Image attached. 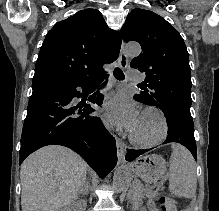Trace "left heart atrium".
I'll return each instance as SVG.
<instances>
[{
    "label": "left heart atrium",
    "mask_w": 219,
    "mask_h": 211,
    "mask_svg": "<svg viewBox=\"0 0 219 211\" xmlns=\"http://www.w3.org/2000/svg\"><path fill=\"white\" fill-rule=\"evenodd\" d=\"M139 117L136 105L123 95L106 102L101 110V118L106 125L125 128L128 131H133Z\"/></svg>",
    "instance_id": "39dd6f15"
}]
</instances>
